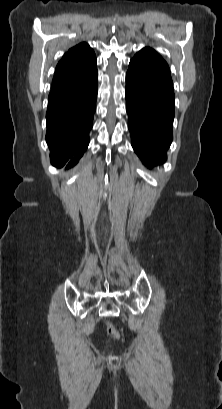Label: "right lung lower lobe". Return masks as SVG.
<instances>
[{
  "label": "right lung lower lobe",
  "mask_w": 222,
  "mask_h": 409,
  "mask_svg": "<svg viewBox=\"0 0 222 409\" xmlns=\"http://www.w3.org/2000/svg\"><path fill=\"white\" fill-rule=\"evenodd\" d=\"M77 77L82 81L80 89L48 97L46 141L51 163L56 167L75 165L89 144V131L96 109L98 72L96 69Z\"/></svg>",
  "instance_id": "98d812e1"
}]
</instances>
